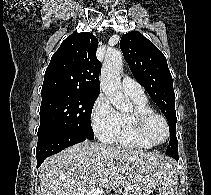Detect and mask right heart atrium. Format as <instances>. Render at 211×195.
I'll return each mask as SVG.
<instances>
[{
    "label": "right heart atrium",
    "mask_w": 211,
    "mask_h": 195,
    "mask_svg": "<svg viewBox=\"0 0 211 195\" xmlns=\"http://www.w3.org/2000/svg\"><path fill=\"white\" fill-rule=\"evenodd\" d=\"M91 126L104 143H112L118 128V112L104 95H99L91 110Z\"/></svg>",
    "instance_id": "d8ad5b80"
}]
</instances>
